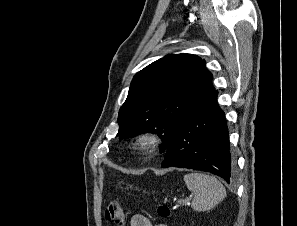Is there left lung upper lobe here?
Listing matches in <instances>:
<instances>
[{"label":"left lung upper lobe","mask_w":297,"mask_h":226,"mask_svg":"<svg viewBox=\"0 0 297 226\" xmlns=\"http://www.w3.org/2000/svg\"><path fill=\"white\" fill-rule=\"evenodd\" d=\"M205 61L191 54L167 55L133 78L128 97L119 110L120 139L156 133L165 153L177 130L196 104L214 90Z\"/></svg>","instance_id":"5c2ea615"}]
</instances>
